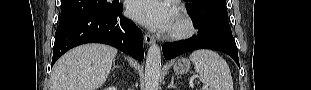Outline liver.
Returning <instances> with one entry per match:
<instances>
[{
    "instance_id": "liver-1",
    "label": "liver",
    "mask_w": 311,
    "mask_h": 90,
    "mask_svg": "<svg viewBox=\"0 0 311 90\" xmlns=\"http://www.w3.org/2000/svg\"><path fill=\"white\" fill-rule=\"evenodd\" d=\"M117 49L85 44L64 54L54 65L51 90H97L107 80Z\"/></svg>"
}]
</instances>
